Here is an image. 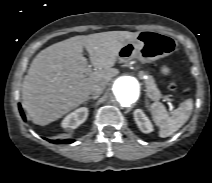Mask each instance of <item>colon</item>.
<instances>
[{
  "label": "colon",
  "mask_w": 212,
  "mask_h": 183,
  "mask_svg": "<svg viewBox=\"0 0 212 183\" xmlns=\"http://www.w3.org/2000/svg\"><path fill=\"white\" fill-rule=\"evenodd\" d=\"M169 88L174 90L176 88V83L174 81H172L169 85Z\"/></svg>",
  "instance_id": "1"
}]
</instances>
